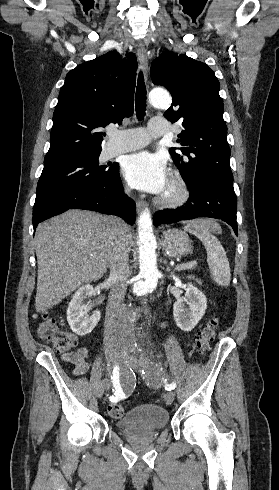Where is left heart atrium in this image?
I'll list each match as a JSON object with an SVG mask.
<instances>
[{
	"label": "left heart atrium",
	"instance_id": "obj_1",
	"mask_svg": "<svg viewBox=\"0 0 279 490\" xmlns=\"http://www.w3.org/2000/svg\"><path fill=\"white\" fill-rule=\"evenodd\" d=\"M127 183L138 190L164 195L170 184L164 158L147 151L129 155L123 163Z\"/></svg>",
	"mask_w": 279,
	"mask_h": 490
}]
</instances>
